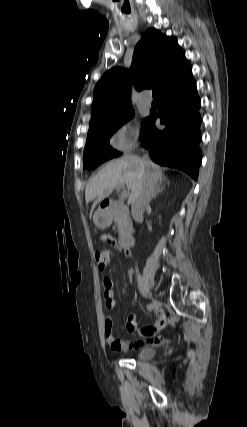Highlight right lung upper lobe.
<instances>
[{"instance_id":"obj_1","label":"right lung upper lobe","mask_w":247,"mask_h":427,"mask_svg":"<svg viewBox=\"0 0 247 427\" xmlns=\"http://www.w3.org/2000/svg\"><path fill=\"white\" fill-rule=\"evenodd\" d=\"M189 68L176 38L148 29L135 47L131 70L112 68L96 84L89 129L115 119L123 110L132 107V82L138 90L156 88L160 94Z\"/></svg>"}]
</instances>
